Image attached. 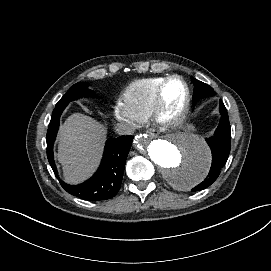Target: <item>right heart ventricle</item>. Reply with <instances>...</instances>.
<instances>
[{"instance_id":"e07e8e85","label":"right heart ventricle","mask_w":271,"mask_h":271,"mask_svg":"<svg viewBox=\"0 0 271 271\" xmlns=\"http://www.w3.org/2000/svg\"><path fill=\"white\" fill-rule=\"evenodd\" d=\"M167 76H150L131 82L121 95L122 104L137 122L154 114L156 94Z\"/></svg>"}]
</instances>
